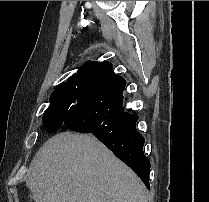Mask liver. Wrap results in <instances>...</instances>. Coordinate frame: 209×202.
<instances>
[{
  "mask_svg": "<svg viewBox=\"0 0 209 202\" xmlns=\"http://www.w3.org/2000/svg\"><path fill=\"white\" fill-rule=\"evenodd\" d=\"M26 186L35 202H148L140 179L102 143L68 131L39 149Z\"/></svg>",
  "mask_w": 209,
  "mask_h": 202,
  "instance_id": "liver-1",
  "label": "liver"
}]
</instances>
